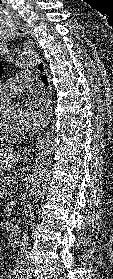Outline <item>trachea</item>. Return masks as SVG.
<instances>
[{"mask_svg":"<svg viewBox=\"0 0 113 279\" xmlns=\"http://www.w3.org/2000/svg\"><path fill=\"white\" fill-rule=\"evenodd\" d=\"M42 82L45 84V85H48V79H47V76L46 75H43L42 78H41Z\"/></svg>","mask_w":113,"mask_h":279,"instance_id":"trachea-1","label":"trachea"}]
</instances>
